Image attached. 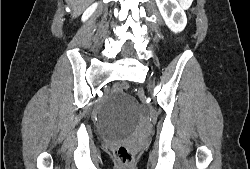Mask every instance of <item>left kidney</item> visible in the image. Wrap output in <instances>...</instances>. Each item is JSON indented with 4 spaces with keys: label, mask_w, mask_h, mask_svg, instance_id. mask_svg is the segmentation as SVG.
I'll list each match as a JSON object with an SVG mask.
<instances>
[{
    "label": "left kidney",
    "mask_w": 250,
    "mask_h": 169,
    "mask_svg": "<svg viewBox=\"0 0 250 169\" xmlns=\"http://www.w3.org/2000/svg\"><path fill=\"white\" fill-rule=\"evenodd\" d=\"M156 4L169 28L180 32L187 24V16L177 0H156Z\"/></svg>",
    "instance_id": "5707ae66"
}]
</instances>
